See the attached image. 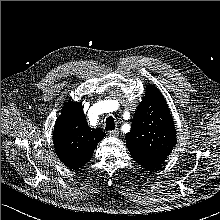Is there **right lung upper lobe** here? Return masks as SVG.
I'll return each mask as SVG.
<instances>
[{"label": "right lung upper lobe", "instance_id": "obj_1", "mask_svg": "<svg viewBox=\"0 0 220 220\" xmlns=\"http://www.w3.org/2000/svg\"><path fill=\"white\" fill-rule=\"evenodd\" d=\"M105 136L101 129L90 128L81 103L64 104L53 132L54 146L60 160L70 169H79L93 156Z\"/></svg>", "mask_w": 220, "mask_h": 220}]
</instances>
